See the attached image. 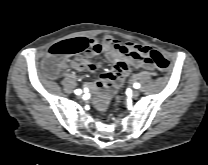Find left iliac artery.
<instances>
[{
	"mask_svg": "<svg viewBox=\"0 0 208 165\" xmlns=\"http://www.w3.org/2000/svg\"><path fill=\"white\" fill-rule=\"evenodd\" d=\"M140 87V84L139 83H135L134 84V88L138 89Z\"/></svg>",
	"mask_w": 208,
	"mask_h": 165,
	"instance_id": "1",
	"label": "left iliac artery"
}]
</instances>
